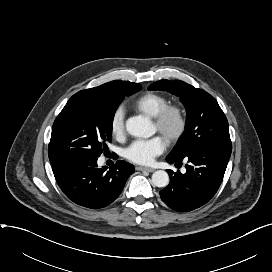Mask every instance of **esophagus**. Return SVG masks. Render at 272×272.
<instances>
[{
    "label": "esophagus",
    "instance_id": "34e87169",
    "mask_svg": "<svg viewBox=\"0 0 272 272\" xmlns=\"http://www.w3.org/2000/svg\"><path fill=\"white\" fill-rule=\"evenodd\" d=\"M136 169L138 170V171H146V172H154V169L153 168H148V167H141V166H138V167H136Z\"/></svg>",
    "mask_w": 272,
    "mask_h": 272
}]
</instances>
